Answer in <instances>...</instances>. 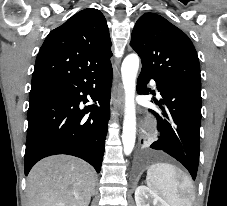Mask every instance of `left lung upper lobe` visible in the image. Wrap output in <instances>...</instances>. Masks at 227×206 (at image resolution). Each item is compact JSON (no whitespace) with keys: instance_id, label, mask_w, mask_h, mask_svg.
I'll use <instances>...</instances> for the list:
<instances>
[{"instance_id":"left-lung-upper-lobe-1","label":"left lung upper lobe","mask_w":227,"mask_h":206,"mask_svg":"<svg viewBox=\"0 0 227 206\" xmlns=\"http://www.w3.org/2000/svg\"><path fill=\"white\" fill-rule=\"evenodd\" d=\"M130 46L141 58L142 70L201 87L199 59L191 40L162 16L143 14Z\"/></svg>"}]
</instances>
